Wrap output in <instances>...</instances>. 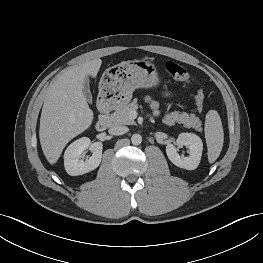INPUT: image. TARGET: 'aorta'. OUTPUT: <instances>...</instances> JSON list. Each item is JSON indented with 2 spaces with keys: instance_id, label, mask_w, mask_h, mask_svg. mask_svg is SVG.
<instances>
[{
  "instance_id": "762f6f07",
  "label": "aorta",
  "mask_w": 263,
  "mask_h": 263,
  "mask_svg": "<svg viewBox=\"0 0 263 263\" xmlns=\"http://www.w3.org/2000/svg\"><path fill=\"white\" fill-rule=\"evenodd\" d=\"M131 142L133 145H140L142 142V136L140 134H133L131 137Z\"/></svg>"
}]
</instances>
